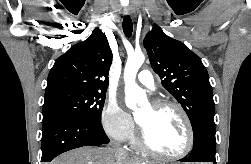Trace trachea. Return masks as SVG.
<instances>
[{
    "label": "trachea",
    "instance_id": "obj_1",
    "mask_svg": "<svg viewBox=\"0 0 251 164\" xmlns=\"http://www.w3.org/2000/svg\"><path fill=\"white\" fill-rule=\"evenodd\" d=\"M133 23L130 16H125L123 19V31L124 34L130 38L132 35Z\"/></svg>",
    "mask_w": 251,
    "mask_h": 164
}]
</instances>
